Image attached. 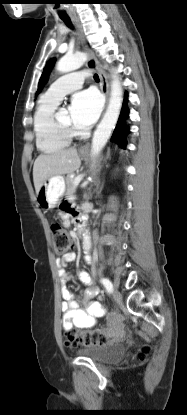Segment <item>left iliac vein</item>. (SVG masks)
<instances>
[{
    "label": "left iliac vein",
    "instance_id": "1",
    "mask_svg": "<svg viewBox=\"0 0 187 415\" xmlns=\"http://www.w3.org/2000/svg\"><path fill=\"white\" fill-rule=\"evenodd\" d=\"M112 296L116 303H120L122 301V294L118 290L117 286H114Z\"/></svg>",
    "mask_w": 187,
    "mask_h": 415
}]
</instances>
